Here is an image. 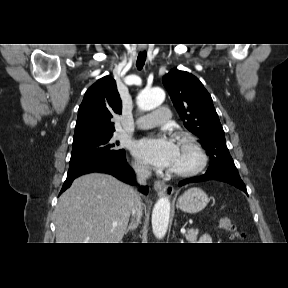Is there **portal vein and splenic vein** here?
Masks as SVG:
<instances>
[{
    "mask_svg": "<svg viewBox=\"0 0 288 288\" xmlns=\"http://www.w3.org/2000/svg\"><path fill=\"white\" fill-rule=\"evenodd\" d=\"M113 226H117V223H114ZM181 233H182V234H185V233H186V230H185L184 228L181 229Z\"/></svg>",
    "mask_w": 288,
    "mask_h": 288,
    "instance_id": "18ae733b",
    "label": "portal vein and splenic vein"
}]
</instances>
